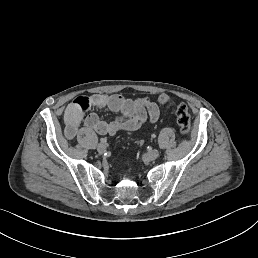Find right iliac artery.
Here are the masks:
<instances>
[{"mask_svg":"<svg viewBox=\"0 0 258 258\" xmlns=\"http://www.w3.org/2000/svg\"><path fill=\"white\" fill-rule=\"evenodd\" d=\"M100 141H101L102 143H106V142H107V139H106V138H101Z\"/></svg>","mask_w":258,"mask_h":258,"instance_id":"1","label":"right iliac artery"}]
</instances>
